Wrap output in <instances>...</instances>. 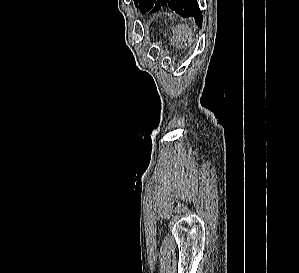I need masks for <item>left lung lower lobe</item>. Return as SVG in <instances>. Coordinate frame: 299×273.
<instances>
[{"label":"left lung lower lobe","instance_id":"left-lung-lower-lobe-1","mask_svg":"<svg viewBox=\"0 0 299 273\" xmlns=\"http://www.w3.org/2000/svg\"><path fill=\"white\" fill-rule=\"evenodd\" d=\"M160 8H169L184 18L192 16L196 24L202 26L203 17L197 0H147L140 11L154 13Z\"/></svg>","mask_w":299,"mask_h":273}]
</instances>
